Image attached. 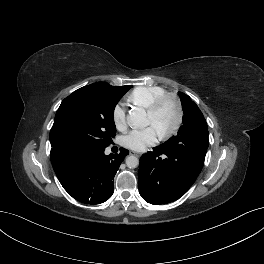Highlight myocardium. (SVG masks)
I'll return each instance as SVG.
<instances>
[{
  "mask_svg": "<svg viewBox=\"0 0 264 264\" xmlns=\"http://www.w3.org/2000/svg\"><path fill=\"white\" fill-rule=\"evenodd\" d=\"M166 102H171L174 105L176 119L170 129L160 133L162 139H168L175 135L181 128L184 118L182 103L180 99L172 93H166L154 100V102L147 108V113L155 115Z\"/></svg>",
  "mask_w": 264,
  "mask_h": 264,
  "instance_id": "f54148a6",
  "label": "myocardium"
}]
</instances>
